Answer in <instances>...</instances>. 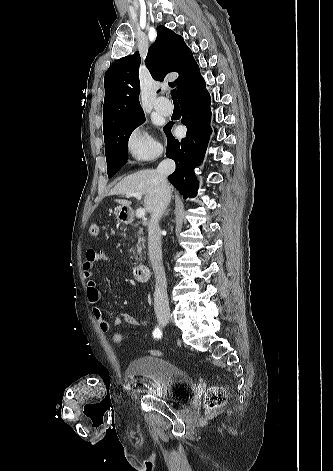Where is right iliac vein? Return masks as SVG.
Wrapping results in <instances>:
<instances>
[{
  "label": "right iliac vein",
  "mask_w": 333,
  "mask_h": 471,
  "mask_svg": "<svg viewBox=\"0 0 333 471\" xmlns=\"http://www.w3.org/2000/svg\"><path fill=\"white\" fill-rule=\"evenodd\" d=\"M171 317L170 315H162V316H159V321L162 323V324H167L169 321H170Z\"/></svg>",
  "instance_id": "right-iliac-vein-1"
}]
</instances>
